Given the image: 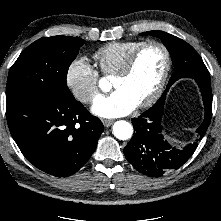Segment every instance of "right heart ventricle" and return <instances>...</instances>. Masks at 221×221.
<instances>
[{"instance_id":"right-heart-ventricle-1","label":"right heart ventricle","mask_w":221,"mask_h":221,"mask_svg":"<svg viewBox=\"0 0 221 221\" xmlns=\"http://www.w3.org/2000/svg\"><path fill=\"white\" fill-rule=\"evenodd\" d=\"M144 41H117L108 43L94 53V59L106 75H114L126 58Z\"/></svg>"}]
</instances>
